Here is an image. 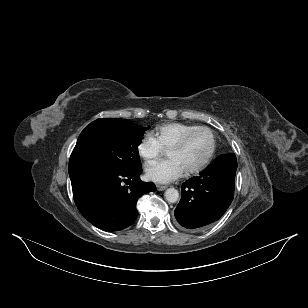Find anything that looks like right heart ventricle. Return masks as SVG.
<instances>
[{"label":"right heart ventricle","instance_id":"e07e8e85","mask_svg":"<svg viewBox=\"0 0 308 308\" xmlns=\"http://www.w3.org/2000/svg\"><path fill=\"white\" fill-rule=\"evenodd\" d=\"M199 127L196 124L169 122L158 125L152 132V136L162 149H168L186 132Z\"/></svg>","mask_w":308,"mask_h":308}]
</instances>
